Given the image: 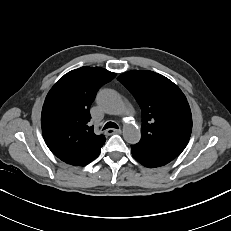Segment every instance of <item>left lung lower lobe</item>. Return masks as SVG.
I'll return each instance as SVG.
<instances>
[{
	"label": "left lung lower lobe",
	"mask_w": 231,
	"mask_h": 231,
	"mask_svg": "<svg viewBox=\"0 0 231 231\" xmlns=\"http://www.w3.org/2000/svg\"><path fill=\"white\" fill-rule=\"evenodd\" d=\"M133 157L142 165L154 168L166 165L178 155L160 148L131 145Z\"/></svg>",
	"instance_id": "left-lung-lower-lobe-1"
}]
</instances>
